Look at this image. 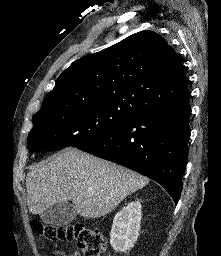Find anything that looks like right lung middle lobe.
I'll use <instances>...</instances> for the list:
<instances>
[{"instance_id":"dd1d6c3e","label":"right lung middle lobe","mask_w":221,"mask_h":256,"mask_svg":"<svg viewBox=\"0 0 221 256\" xmlns=\"http://www.w3.org/2000/svg\"><path fill=\"white\" fill-rule=\"evenodd\" d=\"M125 107L89 104L33 116L27 138L31 150L77 147L134 118Z\"/></svg>"}]
</instances>
